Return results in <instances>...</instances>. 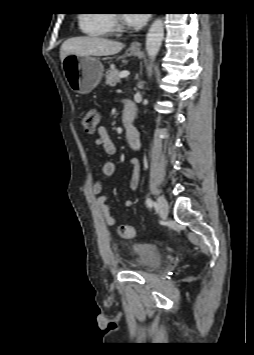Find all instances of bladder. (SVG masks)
I'll use <instances>...</instances> for the list:
<instances>
[{"label": "bladder", "mask_w": 254, "mask_h": 355, "mask_svg": "<svg viewBox=\"0 0 254 355\" xmlns=\"http://www.w3.org/2000/svg\"><path fill=\"white\" fill-rule=\"evenodd\" d=\"M134 270L153 272L162 262V257L156 246L149 243H134L132 246Z\"/></svg>", "instance_id": "bladder-1"}]
</instances>
